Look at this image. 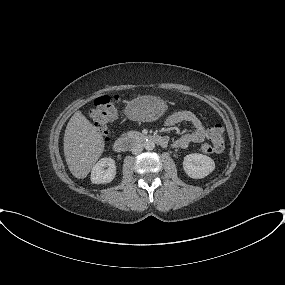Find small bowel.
Listing matches in <instances>:
<instances>
[{
  "label": "small bowel",
  "mask_w": 285,
  "mask_h": 285,
  "mask_svg": "<svg viewBox=\"0 0 285 285\" xmlns=\"http://www.w3.org/2000/svg\"><path fill=\"white\" fill-rule=\"evenodd\" d=\"M181 123H189L191 124L193 130L188 133H184L177 137L173 145L176 148H187L191 144L201 143L208 137V130L203 125L202 121L191 111H178L170 115L165 124L167 126H175Z\"/></svg>",
  "instance_id": "obj_1"
}]
</instances>
